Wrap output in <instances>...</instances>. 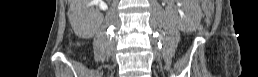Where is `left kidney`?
<instances>
[{
    "label": "left kidney",
    "instance_id": "obj_1",
    "mask_svg": "<svg viewBox=\"0 0 258 77\" xmlns=\"http://www.w3.org/2000/svg\"><path fill=\"white\" fill-rule=\"evenodd\" d=\"M183 2H186V1H183ZM178 20L182 28H187L189 24L194 22V13L187 6L185 7V15L183 17H178Z\"/></svg>",
    "mask_w": 258,
    "mask_h": 77
}]
</instances>
